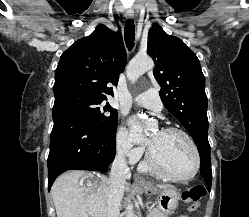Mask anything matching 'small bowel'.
I'll return each mask as SVG.
<instances>
[{"instance_id":"small-bowel-1","label":"small bowel","mask_w":249,"mask_h":217,"mask_svg":"<svg viewBox=\"0 0 249 217\" xmlns=\"http://www.w3.org/2000/svg\"><path fill=\"white\" fill-rule=\"evenodd\" d=\"M179 217H187V216H179Z\"/></svg>"}]
</instances>
